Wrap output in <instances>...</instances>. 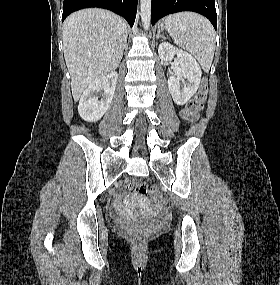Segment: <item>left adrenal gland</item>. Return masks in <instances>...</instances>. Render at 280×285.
Wrapping results in <instances>:
<instances>
[{
	"label": "left adrenal gland",
	"mask_w": 280,
	"mask_h": 285,
	"mask_svg": "<svg viewBox=\"0 0 280 285\" xmlns=\"http://www.w3.org/2000/svg\"><path fill=\"white\" fill-rule=\"evenodd\" d=\"M159 37H163V36H161V30L159 29V31H158V33H157V35H156V38L157 39H159ZM164 38V37H163Z\"/></svg>",
	"instance_id": "1"
}]
</instances>
